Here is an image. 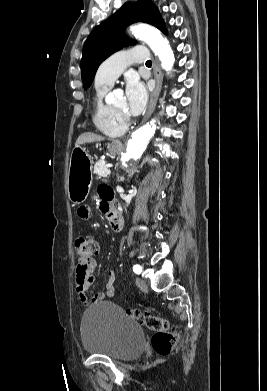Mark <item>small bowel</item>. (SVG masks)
Wrapping results in <instances>:
<instances>
[{
  "label": "small bowel",
  "mask_w": 267,
  "mask_h": 391,
  "mask_svg": "<svg viewBox=\"0 0 267 391\" xmlns=\"http://www.w3.org/2000/svg\"><path fill=\"white\" fill-rule=\"evenodd\" d=\"M98 195L102 201V207L114 206V196L112 188L106 184H101L98 187ZM77 215L82 220H87L90 215V209L87 206H80L77 210ZM95 268V262L92 263L90 270L83 272L77 268L76 275V291L79 299L83 305L89 303H97L106 298H111L115 292L116 273L109 271L108 282L104 291L96 293L91 299L87 296V291L94 281L93 270Z\"/></svg>",
  "instance_id": "c3829d8e"
}]
</instances>
